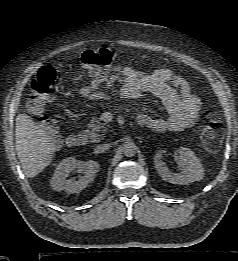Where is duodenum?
<instances>
[{"label":"duodenum","mask_w":238,"mask_h":261,"mask_svg":"<svg viewBox=\"0 0 238 261\" xmlns=\"http://www.w3.org/2000/svg\"><path fill=\"white\" fill-rule=\"evenodd\" d=\"M86 142H87V136L84 133L73 134L67 138L68 146L73 148L81 147L85 145Z\"/></svg>","instance_id":"obj_1"}]
</instances>
